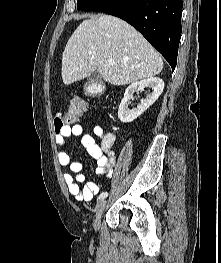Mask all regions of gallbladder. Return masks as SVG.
<instances>
[{
    "mask_svg": "<svg viewBox=\"0 0 221 263\" xmlns=\"http://www.w3.org/2000/svg\"><path fill=\"white\" fill-rule=\"evenodd\" d=\"M101 81V75L100 73L98 72V70L94 71L90 78H89V82L90 83H99Z\"/></svg>",
    "mask_w": 221,
    "mask_h": 263,
    "instance_id": "bac80fb5",
    "label": "gallbladder"
}]
</instances>
